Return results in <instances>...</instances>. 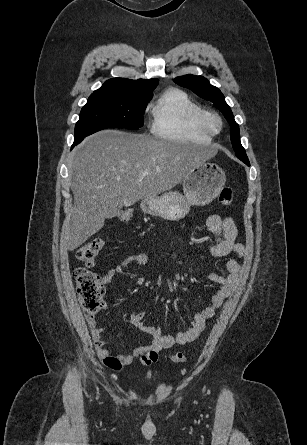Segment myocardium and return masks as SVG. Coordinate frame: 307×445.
<instances>
[{"label":"myocardium","mask_w":307,"mask_h":445,"mask_svg":"<svg viewBox=\"0 0 307 445\" xmlns=\"http://www.w3.org/2000/svg\"><path fill=\"white\" fill-rule=\"evenodd\" d=\"M205 121L207 130L210 134L218 135L222 133L224 129V120L219 114L212 112L207 115Z\"/></svg>","instance_id":"obj_1"}]
</instances>
